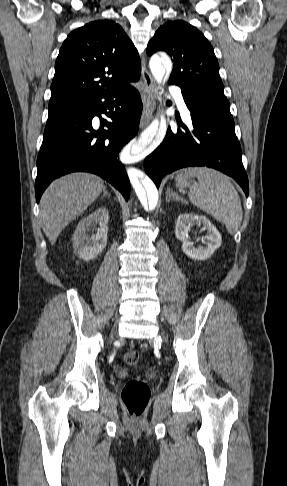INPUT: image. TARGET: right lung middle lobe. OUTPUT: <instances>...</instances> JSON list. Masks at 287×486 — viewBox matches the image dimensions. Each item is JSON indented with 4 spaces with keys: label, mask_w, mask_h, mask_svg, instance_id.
I'll list each match as a JSON object with an SVG mask.
<instances>
[{
    "label": "right lung middle lobe",
    "mask_w": 287,
    "mask_h": 486,
    "mask_svg": "<svg viewBox=\"0 0 287 486\" xmlns=\"http://www.w3.org/2000/svg\"><path fill=\"white\" fill-rule=\"evenodd\" d=\"M76 108H73V109H66V110H50L49 111V115H48V118H52V117H56V116H59L61 114H64L66 112H69V111H72Z\"/></svg>",
    "instance_id": "right-lung-middle-lobe-1"
}]
</instances>
